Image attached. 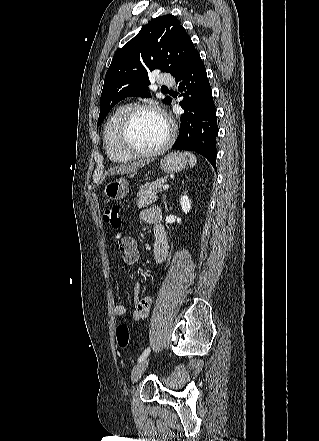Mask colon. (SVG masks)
I'll use <instances>...</instances> for the list:
<instances>
[{
  "instance_id": "5ec220e1",
  "label": "colon",
  "mask_w": 319,
  "mask_h": 441,
  "mask_svg": "<svg viewBox=\"0 0 319 441\" xmlns=\"http://www.w3.org/2000/svg\"><path fill=\"white\" fill-rule=\"evenodd\" d=\"M104 221L114 229H119L122 225V217L119 206L112 205L105 208L103 212ZM117 343L121 348L129 344V330L127 325L120 324L116 330Z\"/></svg>"
}]
</instances>
